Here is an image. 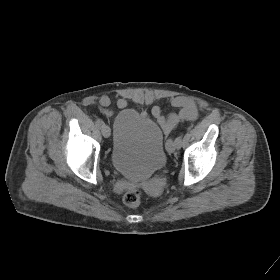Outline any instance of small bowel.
<instances>
[{
  "label": "small bowel",
  "instance_id": "small-bowel-1",
  "mask_svg": "<svg viewBox=\"0 0 280 280\" xmlns=\"http://www.w3.org/2000/svg\"><path fill=\"white\" fill-rule=\"evenodd\" d=\"M102 111L106 115H112L110 108L111 99L108 95L101 96L99 100ZM173 107L177 108V112L164 116L159 106L152 108V115L156 118L159 125L166 134H170L181 121H193L198 117V108L196 103L184 96H175L171 99ZM127 106V101L123 98L117 101V107L123 109Z\"/></svg>",
  "mask_w": 280,
  "mask_h": 280
}]
</instances>
